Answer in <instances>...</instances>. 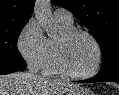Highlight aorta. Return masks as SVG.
Wrapping results in <instances>:
<instances>
[{
  "instance_id": "obj_1",
  "label": "aorta",
  "mask_w": 119,
  "mask_h": 95,
  "mask_svg": "<svg viewBox=\"0 0 119 95\" xmlns=\"http://www.w3.org/2000/svg\"><path fill=\"white\" fill-rule=\"evenodd\" d=\"M34 14L48 36H52L56 33L57 25L52 17L50 0H36Z\"/></svg>"
}]
</instances>
